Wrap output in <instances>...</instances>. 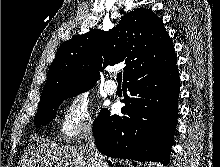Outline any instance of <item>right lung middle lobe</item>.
Masks as SVG:
<instances>
[{"mask_svg": "<svg viewBox=\"0 0 220 167\" xmlns=\"http://www.w3.org/2000/svg\"><path fill=\"white\" fill-rule=\"evenodd\" d=\"M90 87L62 90L40 101L37 113L35 115V124L41 126L51 122L55 117L57 107L64 99L85 92Z\"/></svg>", "mask_w": 220, "mask_h": 167, "instance_id": "dd1d6c3e", "label": "right lung middle lobe"}]
</instances>
